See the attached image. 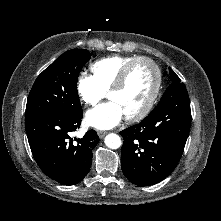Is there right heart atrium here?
I'll return each instance as SVG.
<instances>
[{"label": "right heart atrium", "instance_id": "right-heart-atrium-1", "mask_svg": "<svg viewBox=\"0 0 221 221\" xmlns=\"http://www.w3.org/2000/svg\"><path fill=\"white\" fill-rule=\"evenodd\" d=\"M76 88L80 100L88 106H95L105 95L97 86L92 76L87 74L80 75Z\"/></svg>", "mask_w": 221, "mask_h": 221}]
</instances>
